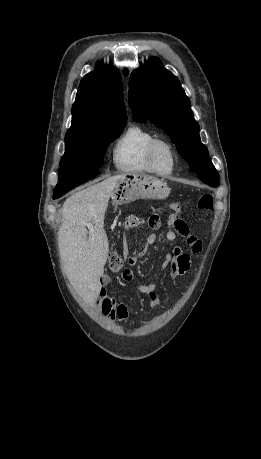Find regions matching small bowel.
I'll list each match as a JSON object with an SVG mask.
<instances>
[{
	"instance_id": "small-bowel-1",
	"label": "small bowel",
	"mask_w": 261,
	"mask_h": 459,
	"mask_svg": "<svg viewBox=\"0 0 261 459\" xmlns=\"http://www.w3.org/2000/svg\"><path fill=\"white\" fill-rule=\"evenodd\" d=\"M144 219L130 215L128 216L123 224L125 230L139 227L144 224ZM178 236H182L186 239L188 245L192 249L193 253H198L201 250V242L194 236L188 229L187 225L181 228L174 219L169 221L167 230L164 234V239L167 241H174ZM159 241V237L155 233H150L146 239V247L144 253L147 252L148 246L156 244ZM129 262L133 264L135 258H130ZM191 266V256L187 253L182 252L178 247H175L170 254H167L164 261L161 264V269H170V274L174 280H177L188 272ZM121 278L125 282H131L134 279V275L130 269H125ZM111 282L109 275H103L101 277V283L103 286ZM137 288L140 292L146 295L149 304L152 308L157 309L160 307V299L155 291L156 285L150 284H137ZM97 304L104 316L111 320L118 319L125 323L129 316L128 305L123 301H118L113 296L109 295L105 288L99 291Z\"/></svg>"
}]
</instances>
